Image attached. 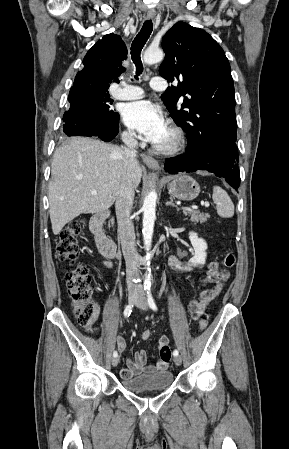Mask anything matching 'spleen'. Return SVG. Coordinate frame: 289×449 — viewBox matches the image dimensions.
Returning <instances> with one entry per match:
<instances>
[{
    "label": "spleen",
    "mask_w": 289,
    "mask_h": 449,
    "mask_svg": "<svg viewBox=\"0 0 289 449\" xmlns=\"http://www.w3.org/2000/svg\"><path fill=\"white\" fill-rule=\"evenodd\" d=\"M212 199L216 204L217 214L223 218H231L234 215V204L225 190L219 186L213 187Z\"/></svg>",
    "instance_id": "3e777b00"
}]
</instances>
